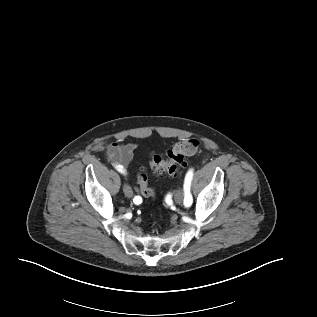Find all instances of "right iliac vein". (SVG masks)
I'll list each match as a JSON object with an SVG mask.
<instances>
[{
	"label": "right iliac vein",
	"instance_id": "obj_1",
	"mask_svg": "<svg viewBox=\"0 0 317 317\" xmlns=\"http://www.w3.org/2000/svg\"><path fill=\"white\" fill-rule=\"evenodd\" d=\"M123 191H124V193H125V195H126L127 197H130V196L128 195V192H130V194H132V190H131V188H130L128 185H124V186H123Z\"/></svg>",
	"mask_w": 317,
	"mask_h": 317
}]
</instances>
